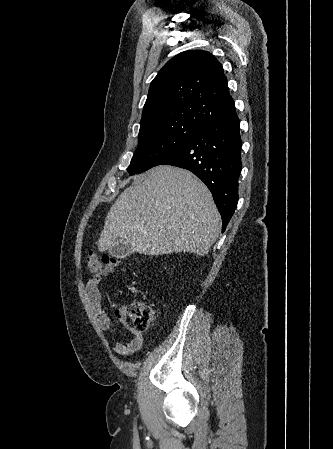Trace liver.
Returning a JSON list of instances; mask_svg holds the SVG:
<instances>
[{"label":"liver","mask_w":333,"mask_h":449,"mask_svg":"<svg viewBox=\"0 0 333 449\" xmlns=\"http://www.w3.org/2000/svg\"><path fill=\"white\" fill-rule=\"evenodd\" d=\"M221 229L208 188L190 171L161 165L133 176L110 208L98 241L104 252L117 239L145 255H207Z\"/></svg>","instance_id":"liver-1"}]
</instances>
